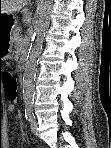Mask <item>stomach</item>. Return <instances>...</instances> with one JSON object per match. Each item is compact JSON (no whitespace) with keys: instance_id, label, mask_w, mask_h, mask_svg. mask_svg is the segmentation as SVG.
<instances>
[{"instance_id":"0dacf381","label":"stomach","mask_w":111,"mask_h":148,"mask_svg":"<svg viewBox=\"0 0 111 148\" xmlns=\"http://www.w3.org/2000/svg\"><path fill=\"white\" fill-rule=\"evenodd\" d=\"M17 26L14 13L0 14V60L10 58L13 47V31Z\"/></svg>"}]
</instances>
